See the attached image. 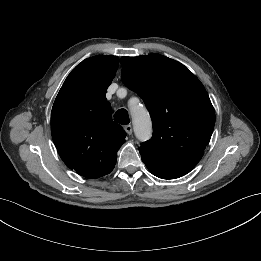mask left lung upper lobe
<instances>
[{
	"label": "left lung upper lobe",
	"instance_id": "1",
	"mask_svg": "<svg viewBox=\"0 0 261 261\" xmlns=\"http://www.w3.org/2000/svg\"><path fill=\"white\" fill-rule=\"evenodd\" d=\"M121 78L145 102L153 124L142 143V161L165 172L187 174L208 145L215 112L202 83L183 64L160 54L122 57Z\"/></svg>",
	"mask_w": 261,
	"mask_h": 261
}]
</instances>
